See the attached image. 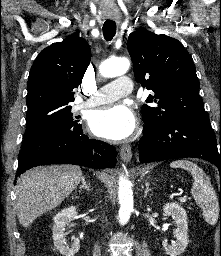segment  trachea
Wrapping results in <instances>:
<instances>
[{"label":"trachea","instance_id":"3493384b","mask_svg":"<svg viewBox=\"0 0 221 256\" xmlns=\"http://www.w3.org/2000/svg\"><path fill=\"white\" fill-rule=\"evenodd\" d=\"M116 33V23L111 20H106L103 25V35L107 41H111Z\"/></svg>","mask_w":221,"mask_h":256}]
</instances>
